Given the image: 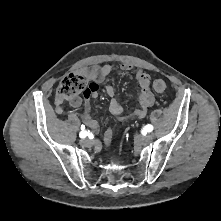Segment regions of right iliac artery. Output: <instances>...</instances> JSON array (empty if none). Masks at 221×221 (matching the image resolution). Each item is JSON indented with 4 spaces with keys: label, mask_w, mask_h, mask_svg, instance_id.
I'll return each mask as SVG.
<instances>
[{
    "label": "right iliac artery",
    "mask_w": 221,
    "mask_h": 221,
    "mask_svg": "<svg viewBox=\"0 0 221 221\" xmlns=\"http://www.w3.org/2000/svg\"><path fill=\"white\" fill-rule=\"evenodd\" d=\"M89 135V130H85V127L82 128V131L79 133L80 138H86Z\"/></svg>",
    "instance_id": "82829eb1"
}]
</instances>
